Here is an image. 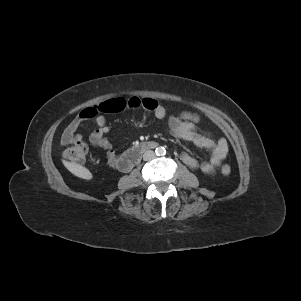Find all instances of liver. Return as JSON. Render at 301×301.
<instances>
[{"label": "liver", "instance_id": "6515ba94", "mask_svg": "<svg viewBox=\"0 0 301 301\" xmlns=\"http://www.w3.org/2000/svg\"><path fill=\"white\" fill-rule=\"evenodd\" d=\"M63 164L71 173H73L77 177H80V178H83L86 180L92 179V174L87 168H85L79 164L70 163L67 161H63Z\"/></svg>", "mask_w": 301, "mask_h": 301}]
</instances>
